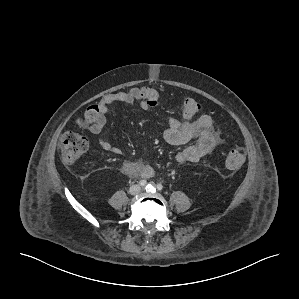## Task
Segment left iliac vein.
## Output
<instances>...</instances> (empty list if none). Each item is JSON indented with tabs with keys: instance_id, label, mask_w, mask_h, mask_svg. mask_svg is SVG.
<instances>
[{
	"instance_id": "1",
	"label": "left iliac vein",
	"mask_w": 299,
	"mask_h": 299,
	"mask_svg": "<svg viewBox=\"0 0 299 299\" xmlns=\"http://www.w3.org/2000/svg\"><path fill=\"white\" fill-rule=\"evenodd\" d=\"M151 186H152V190L154 189V185L153 184H151Z\"/></svg>"
}]
</instances>
